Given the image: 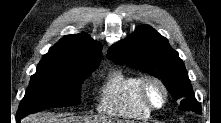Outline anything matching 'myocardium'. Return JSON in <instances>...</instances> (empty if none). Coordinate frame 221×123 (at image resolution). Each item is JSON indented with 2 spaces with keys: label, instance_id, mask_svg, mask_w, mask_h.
<instances>
[{
  "label": "myocardium",
  "instance_id": "myocardium-1",
  "mask_svg": "<svg viewBox=\"0 0 221 123\" xmlns=\"http://www.w3.org/2000/svg\"><path fill=\"white\" fill-rule=\"evenodd\" d=\"M151 85L157 86L162 91L163 100L160 104H155L149 96V87ZM138 92H139L141 101L151 111L162 109L168 102L169 92H168L166 85L160 78L154 75H146L141 78Z\"/></svg>",
  "mask_w": 221,
  "mask_h": 123
}]
</instances>
